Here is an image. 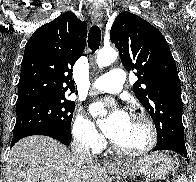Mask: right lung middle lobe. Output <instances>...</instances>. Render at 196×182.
I'll return each mask as SVG.
<instances>
[{
  "instance_id": "dd1d6c3e",
  "label": "right lung middle lobe",
  "mask_w": 196,
  "mask_h": 182,
  "mask_svg": "<svg viewBox=\"0 0 196 182\" xmlns=\"http://www.w3.org/2000/svg\"><path fill=\"white\" fill-rule=\"evenodd\" d=\"M74 109L75 103L66 100L65 96L40 98L18 104L13 135L32 128L47 127L71 136Z\"/></svg>"
}]
</instances>
